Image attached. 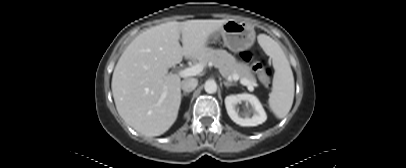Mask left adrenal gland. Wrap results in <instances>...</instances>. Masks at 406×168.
<instances>
[{
    "instance_id": "left-adrenal-gland-1",
    "label": "left adrenal gland",
    "mask_w": 406,
    "mask_h": 168,
    "mask_svg": "<svg viewBox=\"0 0 406 168\" xmlns=\"http://www.w3.org/2000/svg\"><path fill=\"white\" fill-rule=\"evenodd\" d=\"M223 84L225 85V87H230V86H235L236 84L235 83H232V82H228V81H223Z\"/></svg>"
}]
</instances>
